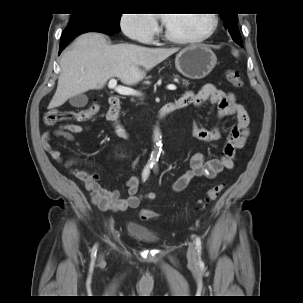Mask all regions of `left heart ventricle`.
I'll list each match as a JSON object with an SVG mask.
<instances>
[{"label":"left heart ventricle","instance_id":"1","mask_svg":"<svg viewBox=\"0 0 303 303\" xmlns=\"http://www.w3.org/2000/svg\"><path fill=\"white\" fill-rule=\"evenodd\" d=\"M166 26L176 36L194 37L205 33L212 24L210 14H167Z\"/></svg>","mask_w":303,"mask_h":303}]
</instances>
